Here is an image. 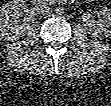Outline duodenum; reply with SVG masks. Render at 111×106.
Returning a JSON list of instances; mask_svg holds the SVG:
<instances>
[{
  "label": "duodenum",
  "instance_id": "410a0bca",
  "mask_svg": "<svg viewBox=\"0 0 111 106\" xmlns=\"http://www.w3.org/2000/svg\"><path fill=\"white\" fill-rule=\"evenodd\" d=\"M60 2H70V0H61Z\"/></svg>",
  "mask_w": 111,
  "mask_h": 106
}]
</instances>
